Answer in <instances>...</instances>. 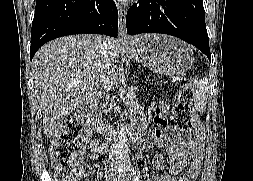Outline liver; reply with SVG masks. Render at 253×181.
Instances as JSON below:
<instances>
[{"label": "liver", "instance_id": "6515ba94", "mask_svg": "<svg viewBox=\"0 0 253 181\" xmlns=\"http://www.w3.org/2000/svg\"><path fill=\"white\" fill-rule=\"evenodd\" d=\"M102 39L87 34L61 37L35 54L32 80L47 138H52L63 120L115 72L120 43L108 38L113 45L108 68L103 61Z\"/></svg>", "mask_w": 253, "mask_h": 181}]
</instances>
